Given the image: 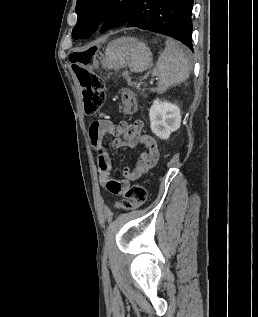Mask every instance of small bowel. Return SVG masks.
<instances>
[{
    "label": "small bowel",
    "instance_id": "small-bowel-1",
    "mask_svg": "<svg viewBox=\"0 0 258 317\" xmlns=\"http://www.w3.org/2000/svg\"><path fill=\"white\" fill-rule=\"evenodd\" d=\"M143 122L134 123L121 121L114 124L109 120L94 121L89 128V137L93 150L96 152L95 163L99 183L112 194H122L130 181L138 180L145 175L159 160L158 144L154 137L142 133ZM113 136L112 147L115 149L133 148L140 145L143 149L141 156L132 169L125 168L123 179L114 175L111 158L104 146V140Z\"/></svg>",
    "mask_w": 258,
    "mask_h": 317
}]
</instances>
